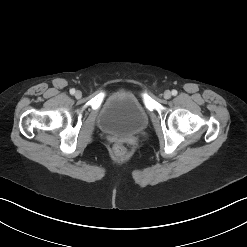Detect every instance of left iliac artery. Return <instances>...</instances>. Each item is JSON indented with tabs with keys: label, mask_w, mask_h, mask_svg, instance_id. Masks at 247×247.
<instances>
[{
	"label": "left iliac artery",
	"mask_w": 247,
	"mask_h": 247,
	"mask_svg": "<svg viewBox=\"0 0 247 247\" xmlns=\"http://www.w3.org/2000/svg\"><path fill=\"white\" fill-rule=\"evenodd\" d=\"M177 90H172V95L176 96L177 95Z\"/></svg>",
	"instance_id": "44dca946"
}]
</instances>
